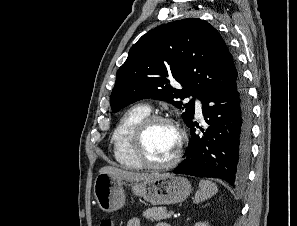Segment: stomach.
Here are the masks:
<instances>
[{
    "label": "stomach",
    "mask_w": 297,
    "mask_h": 226,
    "mask_svg": "<svg viewBox=\"0 0 297 226\" xmlns=\"http://www.w3.org/2000/svg\"><path fill=\"white\" fill-rule=\"evenodd\" d=\"M152 204H175L185 200L191 193V184L180 176L163 174L158 178L130 183L110 174H99L94 182V196L101 210L113 212L125 204V189Z\"/></svg>",
    "instance_id": "1"
}]
</instances>
